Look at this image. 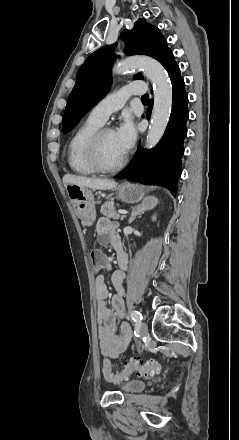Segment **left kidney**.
<instances>
[{
  "label": "left kidney",
  "instance_id": "1",
  "mask_svg": "<svg viewBox=\"0 0 239 440\" xmlns=\"http://www.w3.org/2000/svg\"><path fill=\"white\" fill-rule=\"evenodd\" d=\"M153 220H156L155 216H153Z\"/></svg>",
  "mask_w": 239,
  "mask_h": 440
}]
</instances>
